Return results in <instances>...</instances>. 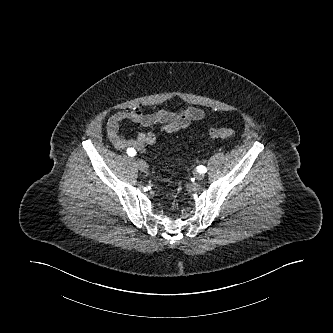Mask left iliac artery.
<instances>
[{
  "instance_id": "left-iliac-artery-1",
  "label": "left iliac artery",
  "mask_w": 333,
  "mask_h": 333,
  "mask_svg": "<svg viewBox=\"0 0 333 333\" xmlns=\"http://www.w3.org/2000/svg\"><path fill=\"white\" fill-rule=\"evenodd\" d=\"M197 171L199 173H205L207 171V169H206L205 166L200 165V166L197 167Z\"/></svg>"
}]
</instances>
